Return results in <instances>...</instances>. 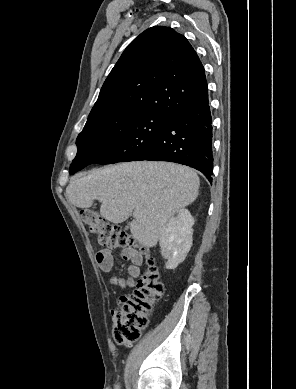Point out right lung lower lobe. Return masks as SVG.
I'll list each match as a JSON object with an SVG mask.
<instances>
[{"label":"right lung lower lobe","mask_w":296,"mask_h":389,"mask_svg":"<svg viewBox=\"0 0 296 389\" xmlns=\"http://www.w3.org/2000/svg\"><path fill=\"white\" fill-rule=\"evenodd\" d=\"M212 131V116L207 100L172 115L164 130L137 160L169 161L187 165L202 172L212 182ZM85 166H77L70 174Z\"/></svg>","instance_id":"1"}]
</instances>
